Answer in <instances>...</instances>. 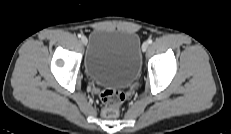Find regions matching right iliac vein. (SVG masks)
I'll use <instances>...</instances> for the list:
<instances>
[{"label":"right iliac vein","mask_w":231,"mask_h":134,"mask_svg":"<svg viewBox=\"0 0 231 134\" xmlns=\"http://www.w3.org/2000/svg\"><path fill=\"white\" fill-rule=\"evenodd\" d=\"M81 42H82L84 45H86V44H87V38H86L85 36H83V37L81 38Z\"/></svg>","instance_id":"right-iliac-vein-1"}]
</instances>
